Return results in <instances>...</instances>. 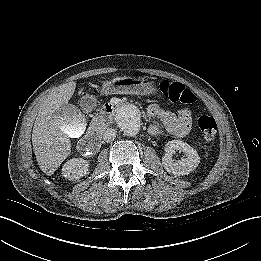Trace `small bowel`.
<instances>
[{
	"label": "small bowel",
	"instance_id": "c3829d8e",
	"mask_svg": "<svg viewBox=\"0 0 261 261\" xmlns=\"http://www.w3.org/2000/svg\"><path fill=\"white\" fill-rule=\"evenodd\" d=\"M148 113L150 116L158 118L163 123L167 133L176 138L187 135L193 126L192 114L187 108L174 113L162 109L157 104H152L148 108ZM149 132L152 135H159L161 130L158 125L153 124L149 128Z\"/></svg>",
	"mask_w": 261,
	"mask_h": 261
}]
</instances>
